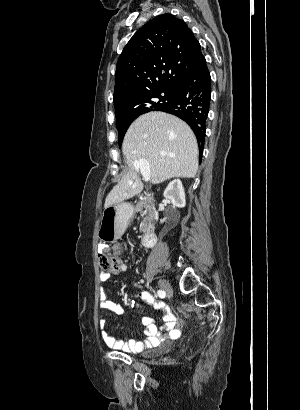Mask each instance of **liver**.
I'll use <instances>...</instances> for the list:
<instances>
[{
	"mask_svg": "<svg viewBox=\"0 0 300 410\" xmlns=\"http://www.w3.org/2000/svg\"><path fill=\"white\" fill-rule=\"evenodd\" d=\"M127 173L106 197L104 207L121 203L143 190L134 163L147 160L150 179L159 184L174 177L194 178L198 170V144L191 128L178 117L150 112L138 117L123 140Z\"/></svg>",
	"mask_w": 300,
	"mask_h": 410,
	"instance_id": "1",
	"label": "liver"
}]
</instances>
